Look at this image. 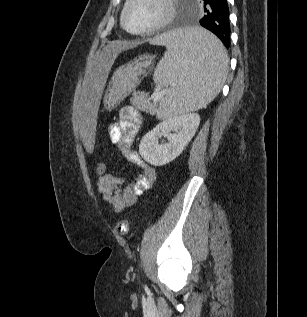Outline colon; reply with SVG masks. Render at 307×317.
<instances>
[{"label": "colon", "mask_w": 307, "mask_h": 317, "mask_svg": "<svg viewBox=\"0 0 307 317\" xmlns=\"http://www.w3.org/2000/svg\"><path fill=\"white\" fill-rule=\"evenodd\" d=\"M95 171L98 177L103 176L105 173H107V164L103 161H99L96 164ZM128 227V220L121 218L116 222L114 229L116 234L123 236L128 232Z\"/></svg>", "instance_id": "obj_1"}]
</instances>
